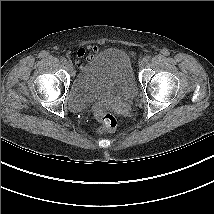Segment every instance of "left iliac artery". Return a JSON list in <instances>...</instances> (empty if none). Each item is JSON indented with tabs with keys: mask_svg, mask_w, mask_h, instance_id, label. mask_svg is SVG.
Wrapping results in <instances>:
<instances>
[{
	"mask_svg": "<svg viewBox=\"0 0 214 214\" xmlns=\"http://www.w3.org/2000/svg\"><path fill=\"white\" fill-rule=\"evenodd\" d=\"M150 58H151V56H150V55H147V56L144 58L145 62H148Z\"/></svg>",
	"mask_w": 214,
	"mask_h": 214,
	"instance_id": "obj_1",
	"label": "left iliac artery"
}]
</instances>
